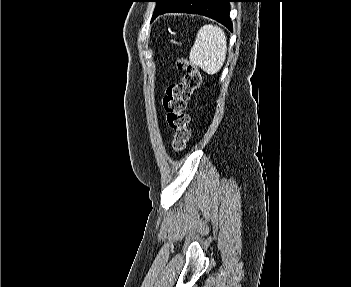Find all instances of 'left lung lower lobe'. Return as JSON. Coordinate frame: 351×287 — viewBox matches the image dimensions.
Wrapping results in <instances>:
<instances>
[{"instance_id": "obj_1", "label": "left lung lower lobe", "mask_w": 351, "mask_h": 287, "mask_svg": "<svg viewBox=\"0 0 351 287\" xmlns=\"http://www.w3.org/2000/svg\"><path fill=\"white\" fill-rule=\"evenodd\" d=\"M229 2H233V0H172L152 20L169 12L200 14L222 23L232 31Z\"/></svg>"}]
</instances>
